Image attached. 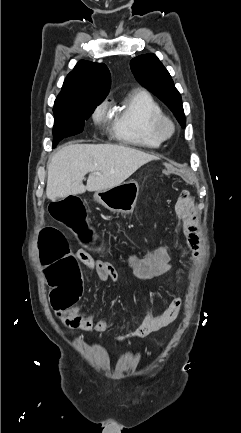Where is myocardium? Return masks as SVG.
Here are the masks:
<instances>
[{"label": "myocardium", "instance_id": "1", "mask_svg": "<svg viewBox=\"0 0 241 433\" xmlns=\"http://www.w3.org/2000/svg\"><path fill=\"white\" fill-rule=\"evenodd\" d=\"M153 129L162 140H166L174 135L176 127L169 117L163 115L154 122Z\"/></svg>", "mask_w": 241, "mask_h": 433}]
</instances>
